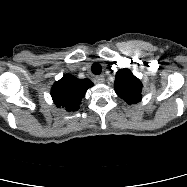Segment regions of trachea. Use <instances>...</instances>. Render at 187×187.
Masks as SVG:
<instances>
[{
  "mask_svg": "<svg viewBox=\"0 0 187 187\" xmlns=\"http://www.w3.org/2000/svg\"><path fill=\"white\" fill-rule=\"evenodd\" d=\"M91 71H92L93 74L99 75L102 72V67H101L100 64L95 63V64L92 65Z\"/></svg>",
  "mask_w": 187,
  "mask_h": 187,
  "instance_id": "obj_1",
  "label": "trachea"
}]
</instances>
